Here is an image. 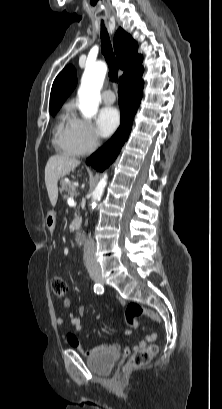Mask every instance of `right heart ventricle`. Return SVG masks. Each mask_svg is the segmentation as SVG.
Masks as SVG:
<instances>
[{
  "mask_svg": "<svg viewBox=\"0 0 222 409\" xmlns=\"http://www.w3.org/2000/svg\"><path fill=\"white\" fill-rule=\"evenodd\" d=\"M72 115L69 109H65L60 116L58 124L55 128V144L60 148L62 153L69 156H80L81 149L77 145L72 134Z\"/></svg>",
  "mask_w": 222,
  "mask_h": 409,
  "instance_id": "right-heart-ventricle-1",
  "label": "right heart ventricle"
}]
</instances>
